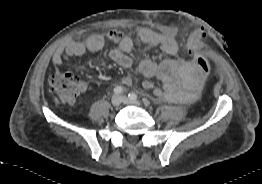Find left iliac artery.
Wrapping results in <instances>:
<instances>
[{"mask_svg": "<svg viewBox=\"0 0 262 184\" xmlns=\"http://www.w3.org/2000/svg\"><path fill=\"white\" fill-rule=\"evenodd\" d=\"M128 97H129L130 99H133V100H134V99H137V94H135V93L132 92V93H129V94H128Z\"/></svg>", "mask_w": 262, "mask_h": 184, "instance_id": "44dca946", "label": "left iliac artery"}]
</instances>
